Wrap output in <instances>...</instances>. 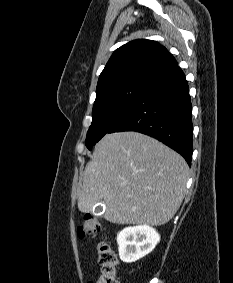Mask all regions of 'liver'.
<instances>
[{
  "instance_id": "liver-1",
  "label": "liver",
  "mask_w": 233,
  "mask_h": 283,
  "mask_svg": "<svg viewBox=\"0 0 233 283\" xmlns=\"http://www.w3.org/2000/svg\"><path fill=\"white\" fill-rule=\"evenodd\" d=\"M188 173L180 154L150 136L106 134L86 164L78 209L88 213L103 202L109 222L163 225L184 199Z\"/></svg>"
}]
</instances>
